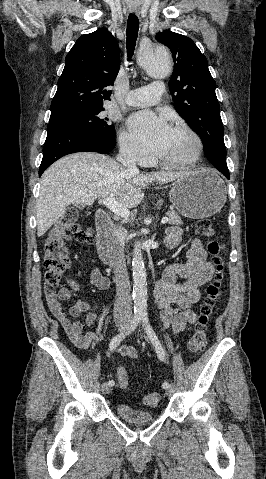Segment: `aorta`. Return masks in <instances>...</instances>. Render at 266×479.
Returning a JSON list of instances; mask_svg holds the SVG:
<instances>
[{
    "mask_svg": "<svg viewBox=\"0 0 266 479\" xmlns=\"http://www.w3.org/2000/svg\"><path fill=\"white\" fill-rule=\"evenodd\" d=\"M137 63L150 75L156 78L167 76L172 68L171 57L168 50L160 45H152L141 49L137 56ZM133 272V300L136 314L147 313V282L141 242L136 241L132 258Z\"/></svg>",
    "mask_w": 266,
    "mask_h": 479,
    "instance_id": "762f6f07",
    "label": "aorta"
}]
</instances>
